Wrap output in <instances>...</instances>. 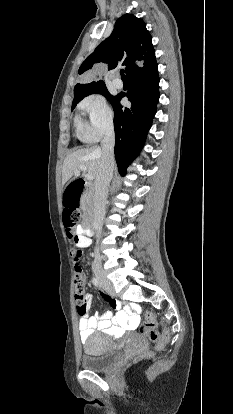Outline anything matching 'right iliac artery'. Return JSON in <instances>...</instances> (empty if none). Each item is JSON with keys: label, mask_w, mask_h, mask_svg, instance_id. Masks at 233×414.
I'll return each mask as SVG.
<instances>
[{"label": "right iliac artery", "mask_w": 233, "mask_h": 414, "mask_svg": "<svg viewBox=\"0 0 233 414\" xmlns=\"http://www.w3.org/2000/svg\"><path fill=\"white\" fill-rule=\"evenodd\" d=\"M92 283H93V285L94 286H96L97 288H101V283L99 282V279L98 278H95V277H93L92 278Z\"/></svg>", "instance_id": "obj_1"}]
</instances>
